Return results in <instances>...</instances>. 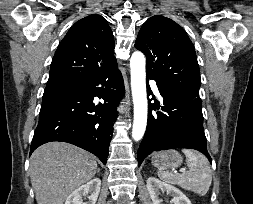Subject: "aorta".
<instances>
[{
	"instance_id": "aorta-1",
	"label": "aorta",
	"mask_w": 253,
	"mask_h": 204,
	"mask_svg": "<svg viewBox=\"0 0 253 204\" xmlns=\"http://www.w3.org/2000/svg\"><path fill=\"white\" fill-rule=\"evenodd\" d=\"M146 60L143 53L136 51L130 59L131 89L134 103V123L132 137L140 140L147 124V94H146Z\"/></svg>"
}]
</instances>
